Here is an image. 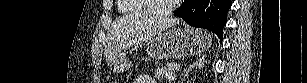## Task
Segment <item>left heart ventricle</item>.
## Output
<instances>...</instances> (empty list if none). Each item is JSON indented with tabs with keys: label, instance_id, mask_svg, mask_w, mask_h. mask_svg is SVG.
Returning a JSON list of instances; mask_svg holds the SVG:
<instances>
[{
	"label": "left heart ventricle",
	"instance_id": "left-heart-ventricle-1",
	"mask_svg": "<svg viewBox=\"0 0 307 83\" xmlns=\"http://www.w3.org/2000/svg\"><path fill=\"white\" fill-rule=\"evenodd\" d=\"M170 2H172V0H156L154 1V4L157 8H163Z\"/></svg>",
	"mask_w": 307,
	"mask_h": 83
}]
</instances>
